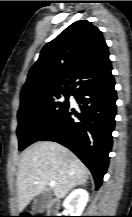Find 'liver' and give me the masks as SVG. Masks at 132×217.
I'll use <instances>...</instances> for the list:
<instances>
[{
	"label": "liver",
	"mask_w": 132,
	"mask_h": 217,
	"mask_svg": "<svg viewBox=\"0 0 132 217\" xmlns=\"http://www.w3.org/2000/svg\"><path fill=\"white\" fill-rule=\"evenodd\" d=\"M89 170L66 147L51 141L36 142L21 155L17 173L18 212L54 181L53 192L63 198L73 187L84 184Z\"/></svg>",
	"instance_id": "obj_1"
}]
</instances>
